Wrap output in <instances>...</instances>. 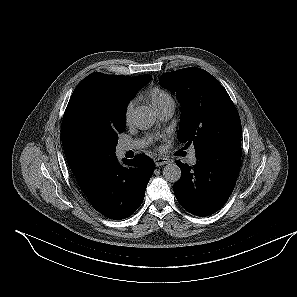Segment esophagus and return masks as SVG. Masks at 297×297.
Wrapping results in <instances>:
<instances>
[{
    "label": "esophagus",
    "instance_id": "esophagus-1",
    "mask_svg": "<svg viewBox=\"0 0 297 297\" xmlns=\"http://www.w3.org/2000/svg\"><path fill=\"white\" fill-rule=\"evenodd\" d=\"M154 161L157 167L170 163V160L168 158H163V157H158Z\"/></svg>",
    "mask_w": 297,
    "mask_h": 297
}]
</instances>
